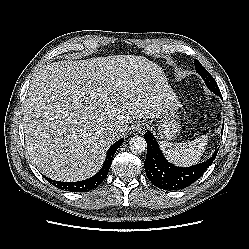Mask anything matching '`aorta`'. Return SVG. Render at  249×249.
Listing matches in <instances>:
<instances>
[{
	"mask_svg": "<svg viewBox=\"0 0 249 249\" xmlns=\"http://www.w3.org/2000/svg\"><path fill=\"white\" fill-rule=\"evenodd\" d=\"M147 143L142 136H134L129 141V148L133 153H142L146 150Z\"/></svg>",
	"mask_w": 249,
	"mask_h": 249,
	"instance_id": "1",
	"label": "aorta"
}]
</instances>
